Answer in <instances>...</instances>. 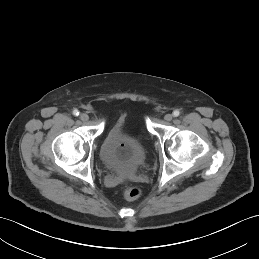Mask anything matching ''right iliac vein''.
Segmentation results:
<instances>
[{"instance_id": "1", "label": "right iliac vein", "mask_w": 259, "mask_h": 259, "mask_svg": "<svg viewBox=\"0 0 259 259\" xmlns=\"http://www.w3.org/2000/svg\"><path fill=\"white\" fill-rule=\"evenodd\" d=\"M80 119H81L82 121H87V120L89 119V116H88V114H86V113H82V114L80 115Z\"/></svg>"}]
</instances>
